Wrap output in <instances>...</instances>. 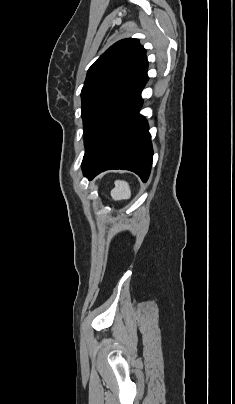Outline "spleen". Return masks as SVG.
I'll list each match as a JSON object with an SVG mask.
<instances>
[{"instance_id":"1","label":"spleen","mask_w":235,"mask_h":404,"mask_svg":"<svg viewBox=\"0 0 235 404\" xmlns=\"http://www.w3.org/2000/svg\"><path fill=\"white\" fill-rule=\"evenodd\" d=\"M111 197L115 201L129 199L131 197V190L126 181L116 180L115 188L111 191Z\"/></svg>"}]
</instances>
